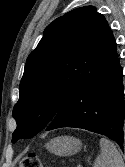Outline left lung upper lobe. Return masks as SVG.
Returning <instances> with one entry per match:
<instances>
[{
  "label": "left lung upper lobe",
  "instance_id": "left-lung-upper-lobe-1",
  "mask_svg": "<svg viewBox=\"0 0 125 167\" xmlns=\"http://www.w3.org/2000/svg\"><path fill=\"white\" fill-rule=\"evenodd\" d=\"M110 27L93 6L54 20L28 56L13 108L17 128L12 142L46 128L88 75Z\"/></svg>",
  "mask_w": 125,
  "mask_h": 167
}]
</instances>
